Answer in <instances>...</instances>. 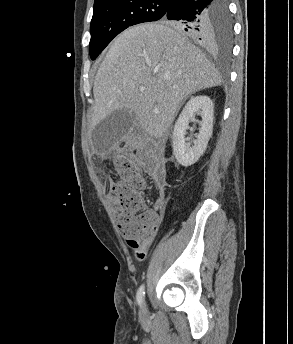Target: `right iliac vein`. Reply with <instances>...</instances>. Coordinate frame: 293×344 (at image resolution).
<instances>
[{"label":"right iliac vein","instance_id":"right-iliac-vein-1","mask_svg":"<svg viewBox=\"0 0 293 344\" xmlns=\"http://www.w3.org/2000/svg\"><path fill=\"white\" fill-rule=\"evenodd\" d=\"M140 316L142 319H145L147 317V310H146V307L144 305L141 307Z\"/></svg>","mask_w":293,"mask_h":344}]
</instances>
